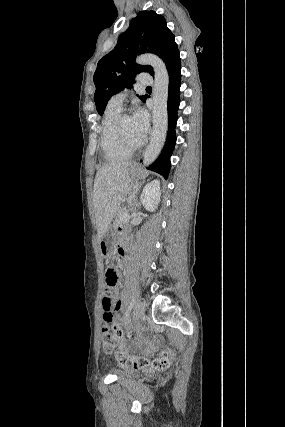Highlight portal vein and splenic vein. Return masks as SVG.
Listing matches in <instances>:
<instances>
[{"label": "portal vein and splenic vein", "mask_w": 285, "mask_h": 427, "mask_svg": "<svg viewBox=\"0 0 285 427\" xmlns=\"http://www.w3.org/2000/svg\"><path fill=\"white\" fill-rule=\"evenodd\" d=\"M129 218H130L129 213H125V214L123 215V217H122V219H124V220H127V219H129Z\"/></svg>", "instance_id": "1"}]
</instances>
